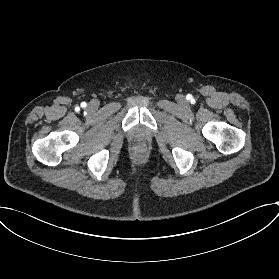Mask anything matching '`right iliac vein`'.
I'll list each match as a JSON object with an SVG mask.
<instances>
[{"instance_id": "right-iliac-vein-1", "label": "right iliac vein", "mask_w": 279, "mask_h": 279, "mask_svg": "<svg viewBox=\"0 0 279 279\" xmlns=\"http://www.w3.org/2000/svg\"><path fill=\"white\" fill-rule=\"evenodd\" d=\"M87 110L92 112L95 111L97 109V102L96 101H92L87 105Z\"/></svg>"}]
</instances>
